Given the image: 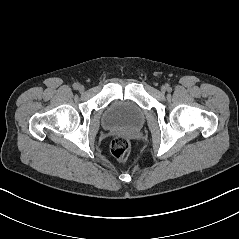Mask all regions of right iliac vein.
Segmentation results:
<instances>
[{
	"mask_svg": "<svg viewBox=\"0 0 239 239\" xmlns=\"http://www.w3.org/2000/svg\"><path fill=\"white\" fill-rule=\"evenodd\" d=\"M84 89H85V88H84V86H82V85H80L79 88H78V90H79L80 92H83Z\"/></svg>",
	"mask_w": 239,
	"mask_h": 239,
	"instance_id": "63e3f726",
	"label": "right iliac vein"
}]
</instances>
